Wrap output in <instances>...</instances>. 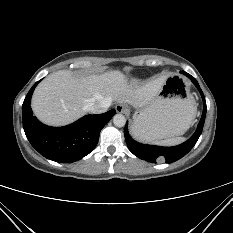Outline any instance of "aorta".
<instances>
[{
  "instance_id": "1",
  "label": "aorta",
  "mask_w": 233,
  "mask_h": 233,
  "mask_svg": "<svg viewBox=\"0 0 233 233\" xmlns=\"http://www.w3.org/2000/svg\"><path fill=\"white\" fill-rule=\"evenodd\" d=\"M113 123L117 127H123L126 124V119L122 114H116L113 117Z\"/></svg>"
}]
</instances>
